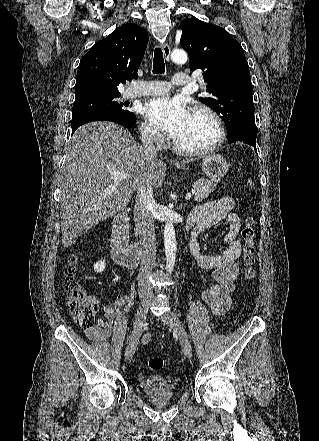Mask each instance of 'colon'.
Here are the masks:
<instances>
[{"instance_id":"colon-1","label":"colon","mask_w":319,"mask_h":441,"mask_svg":"<svg viewBox=\"0 0 319 441\" xmlns=\"http://www.w3.org/2000/svg\"><path fill=\"white\" fill-rule=\"evenodd\" d=\"M255 219L247 216L241 230L244 242L242 251V263L244 266V278L252 281L255 278ZM78 258L72 254L65 267L64 291L66 305L74 321L83 328H92L95 325V314L98 306L87 296L85 289L78 279ZM148 366L153 371H159L164 366L161 357H151Z\"/></svg>"}]
</instances>
